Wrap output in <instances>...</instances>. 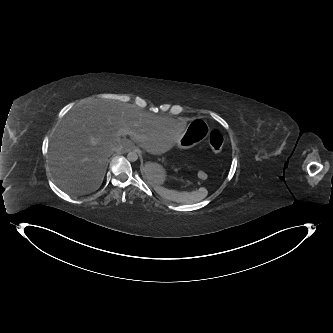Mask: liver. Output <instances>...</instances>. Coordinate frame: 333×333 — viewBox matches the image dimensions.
I'll use <instances>...</instances> for the list:
<instances>
[{
    "mask_svg": "<svg viewBox=\"0 0 333 333\" xmlns=\"http://www.w3.org/2000/svg\"><path fill=\"white\" fill-rule=\"evenodd\" d=\"M129 137L117 136L120 128ZM185 124L144 111L135 104L93 99L72 109L59 123L51 142L48 164L55 182L75 195L90 193L103 181L108 158L132 142L153 155L175 148Z\"/></svg>",
    "mask_w": 333,
    "mask_h": 333,
    "instance_id": "liver-1",
    "label": "liver"
}]
</instances>
